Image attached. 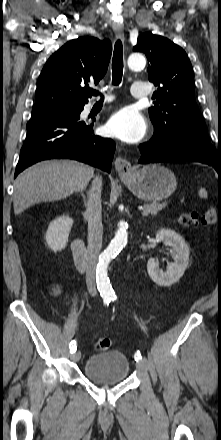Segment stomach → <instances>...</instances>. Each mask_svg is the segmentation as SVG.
<instances>
[{
    "instance_id": "1",
    "label": "stomach",
    "mask_w": 221,
    "mask_h": 440,
    "mask_svg": "<svg viewBox=\"0 0 221 440\" xmlns=\"http://www.w3.org/2000/svg\"><path fill=\"white\" fill-rule=\"evenodd\" d=\"M121 179L129 190L144 201H161L169 197L177 187L174 173L160 164H149L142 168H132L121 174Z\"/></svg>"
}]
</instances>
